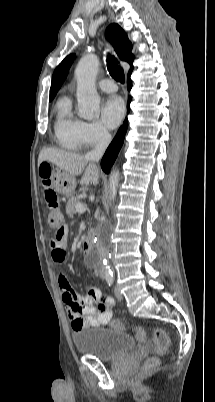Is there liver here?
I'll use <instances>...</instances> for the list:
<instances>
[{
  "label": "liver",
  "mask_w": 215,
  "mask_h": 402,
  "mask_svg": "<svg viewBox=\"0 0 215 402\" xmlns=\"http://www.w3.org/2000/svg\"><path fill=\"white\" fill-rule=\"evenodd\" d=\"M48 161L72 176L83 174L81 185L98 184L99 171L95 164L90 163L85 156L54 148L43 149L38 158V165Z\"/></svg>",
  "instance_id": "liver-1"
}]
</instances>
